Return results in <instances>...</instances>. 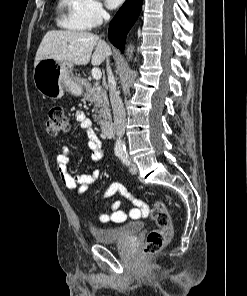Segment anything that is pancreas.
Masks as SVG:
<instances>
[{"label": "pancreas", "mask_w": 247, "mask_h": 296, "mask_svg": "<svg viewBox=\"0 0 247 296\" xmlns=\"http://www.w3.org/2000/svg\"><path fill=\"white\" fill-rule=\"evenodd\" d=\"M84 100L90 101L93 107V118L97 124H102L106 119L110 118L109 101L106 89L98 83L93 85L86 84Z\"/></svg>", "instance_id": "obj_1"}]
</instances>
